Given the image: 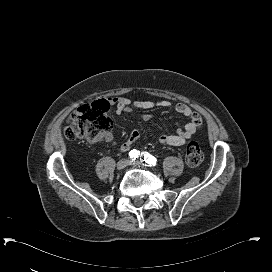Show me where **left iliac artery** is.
I'll return each instance as SVG.
<instances>
[{"instance_id":"1","label":"left iliac artery","mask_w":272,"mask_h":272,"mask_svg":"<svg viewBox=\"0 0 272 272\" xmlns=\"http://www.w3.org/2000/svg\"><path fill=\"white\" fill-rule=\"evenodd\" d=\"M143 154H144L143 161L145 163L149 164L150 166L151 165H153V166L156 165L157 159L154 156L150 155L148 152H145Z\"/></svg>"}]
</instances>
